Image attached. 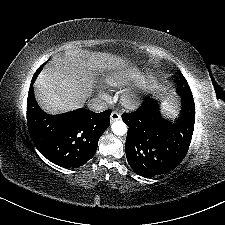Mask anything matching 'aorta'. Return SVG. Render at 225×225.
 I'll return each instance as SVG.
<instances>
[{
	"label": "aorta",
	"instance_id": "762f6f07",
	"mask_svg": "<svg viewBox=\"0 0 225 225\" xmlns=\"http://www.w3.org/2000/svg\"><path fill=\"white\" fill-rule=\"evenodd\" d=\"M111 130L116 135H124L127 132V127L124 122L115 120L111 124Z\"/></svg>",
	"mask_w": 225,
	"mask_h": 225
}]
</instances>
